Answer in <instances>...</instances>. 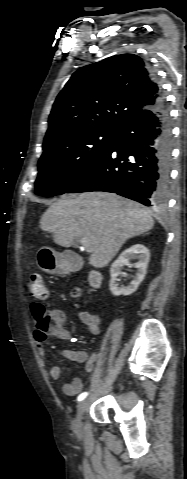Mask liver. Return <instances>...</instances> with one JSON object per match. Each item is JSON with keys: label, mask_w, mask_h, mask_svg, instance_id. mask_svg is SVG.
<instances>
[{"label": "liver", "mask_w": 187, "mask_h": 479, "mask_svg": "<svg viewBox=\"0 0 187 479\" xmlns=\"http://www.w3.org/2000/svg\"><path fill=\"white\" fill-rule=\"evenodd\" d=\"M150 212L116 194L90 192L62 197L50 205L40 228L52 233L54 242L69 248L77 239L91 245L89 264L103 268L130 238L151 230Z\"/></svg>", "instance_id": "6515ba94"}]
</instances>
